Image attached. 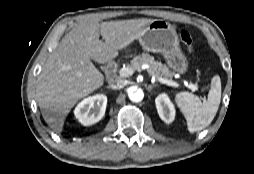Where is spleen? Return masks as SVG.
Wrapping results in <instances>:
<instances>
[{
    "label": "spleen",
    "instance_id": "obj_1",
    "mask_svg": "<svg viewBox=\"0 0 254 174\" xmlns=\"http://www.w3.org/2000/svg\"><path fill=\"white\" fill-rule=\"evenodd\" d=\"M220 101L221 81L219 76L213 77L205 103L189 92H180L175 96V102L187 121L190 133L201 131L210 125L218 111Z\"/></svg>",
    "mask_w": 254,
    "mask_h": 174
}]
</instances>
